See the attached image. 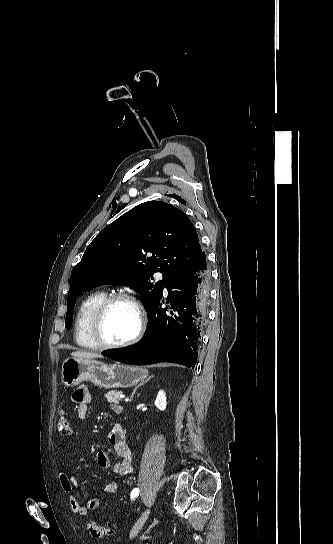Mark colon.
<instances>
[{
    "instance_id": "colon-1",
    "label": "colon",
    "mask_w": 333,
    "mask_h": 544,
    "mask_svg": "<svg viewBox=\"0 0 333 544\" xmlns=\"http://www.w3.org/2000/svg\"><path fill=\"white\" fill-rule=\"evenodd\" d=\"M57 430L59 434L68 436L71 435L73 432L72 426L68 420V418L65 415H61L58 418L57 421ZM110 524H99L95 522H91L87 525L88 532L95 538L103 539L107 537L110 533Z\"/></svg>"
}]
</instances>
